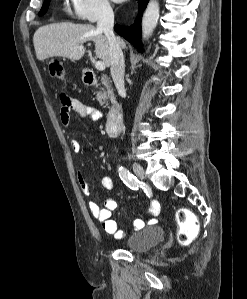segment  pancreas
<instances>
[{"label": "pancreas", "instance_id": "cf45deb5", "mask_svg": "<svg viewBox=\"0 0 247 299\" xmlns=\"http://www.w3.org/2000/svg\"><path fill=\"white\" fill-rule=\"evenodd\" d=\"M101 81H102V85L104 87L100 91L97 92L96 98L101 104H103L107 100L113 99L114 93H113V89L108 80L102 79Z\"/></svg>", "mask_w": 247, "mask_h": 299}]
</instances>
